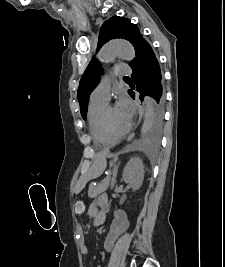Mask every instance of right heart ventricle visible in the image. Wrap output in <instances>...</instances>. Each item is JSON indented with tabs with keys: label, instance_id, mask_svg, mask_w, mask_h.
Masks as SVG:
<instances>
[{
	"label": "right heart ventricle",
	"instance_id": "1",
	"mask_svg": "<svg viewBox=\"0 0 225 267\" xmlns=\"http://www.w3.org/2000/svg\"><path fill=\"white\" fill-rule=\"evenodd\" d=\"M106 105L107 102L90 99L87 114L88 126L92 139L96 145L101 147L111 146L116 143L102 128L101 115Z\"/></svg>",
	"mask_w": 225,
	"mask_h": 267
}]
</instances>
